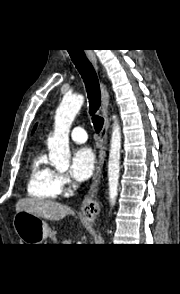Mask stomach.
I'll list each match as a JSON object with an SVG mask.
<instances>
[{"instance_id": "1", "label": "stomach", "mask_w": 180, "mask_h": 294, "mask_svg": "<svg viewBox=\"0 0 180 294\" xmlns=\"http://www.w3.org/2000/svg\"><path fill=\"white\" fill-rule=\"evenodd\" d=\"M13 226L23 244H41L51 235L50 228L42 218L26 211L15 214Z\"/></svg>"}]
</instances>
